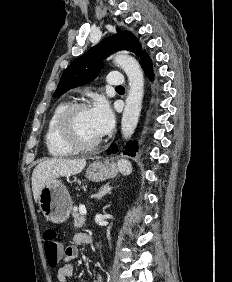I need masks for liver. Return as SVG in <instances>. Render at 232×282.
<instances>
[{"label":"liver","instance_id":"obj_1","mask_svg":"<svg viewBox=\"0 0 232 282\" xmlns=\"http://www.w3.org/2000/svg\"><path fill=\"white\" fill-rule=\"evenodd\" d=\"M85 165V159L51 158L40 162L32 174V191L35 201H38L45 184L58 177L78 174L82 172Z\"/></svg>","mask_w":232,"mask_h":282}]
</instances>
